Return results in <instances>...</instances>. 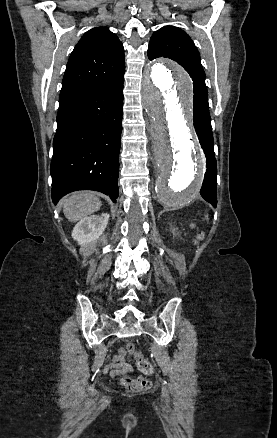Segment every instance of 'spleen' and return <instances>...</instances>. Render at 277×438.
<instances>
[{
  "label": "spleen",
  "instance_id": "obj_1",
  "mask_svg": "<svg viewBox=\"0 0 277 438\" xmlns=\"http://www.w3.org/2000/svg\"><path fill=\"white\" fill-rule=\"evenodd\" d=\"M205 218H207V220H208V216H205Z\"/></svg>",
  "mask_w": 277,
  "mask_h": 438
}]
</instances>
